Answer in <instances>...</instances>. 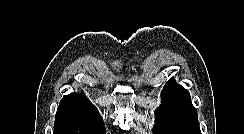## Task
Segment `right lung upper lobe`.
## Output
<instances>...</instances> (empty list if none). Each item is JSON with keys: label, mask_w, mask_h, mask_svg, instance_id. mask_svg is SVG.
<instances>
[{"label": "right lung upper lobe", "mask_w": 244, "mask_h": 134, "mask_svg": "<svg viewBox=\"0 0 244 134\" xmlns=\"http://www.w3.org/2000/svg\"><path fill=\"white\" fill-rule=\"evenodd\" d=\"M101 119L97 108L84 95L71 93L63 97L55 118Z\"/></svg>", "instance_id": "right-lung-upper-lobe-1"}]
</instances>
